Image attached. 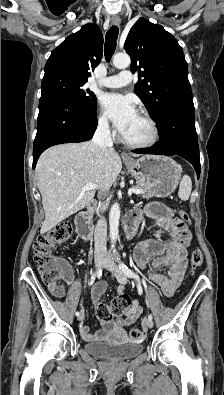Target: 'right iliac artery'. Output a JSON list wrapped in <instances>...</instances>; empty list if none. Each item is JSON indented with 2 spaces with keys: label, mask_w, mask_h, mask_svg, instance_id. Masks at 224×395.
Returning a JSON list of instances; mask_svg holds the SVG:
<instances>
[{
  "label": "right iliac artery",
  "mask_w": 224,
  "mask_h": 395,
  "mask_svg": "<svg viewBox=\"0 0 224 395\" xmlns=\"http://www.w3.org/2000/svg\"><path fill=\"white\" fill-rule=\"evenodd\" d=\"M101 273H102V270L99 269L95 274L92 275L90 282H89V286H91L95 282L96 277L101 275ZM75 314H76V316H79L80 313L77 311Z\"/></svg>",
  "instance_id": "obj_1"
}]
</instances>
